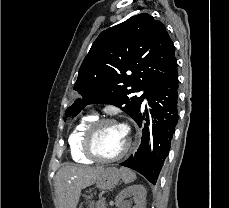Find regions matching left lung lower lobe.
Listing matches in <instances>:
<instances>
[{
	"label": "left lung lower lobe",
	"instance_id": "obj_1",
	"mask_svg": "<svg viewBox=\"0 0 229 208\" xmlns=\"http://www.w3.org/2000/svg\"><path fill=\"white\" fill-rule=\"evenodd\" d=\"M178 73L163 85L146 93L149 110L140 108L133 118L139 127L145 120L142 141L135 156L120 165L136 170L152 184H156L159 172L168 156L171 140L178 122Z\"/></svg>",
	"mask_w": 229,
	"mask_h": 208
}]
</instances>
